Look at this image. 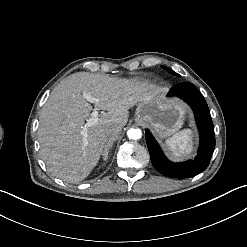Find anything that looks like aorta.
<instances>
[{"mask_svg": "<svg viewBox=\"0 0 247 247\" xmlns=\"http://www.w3.org/2000/svg\"><path fill=\"white\" fill-rule=\"evenodd\" d=\"M127 136L130 138V139H133V140H137V139H140L141 136H142V132L139 128H131L127 131Z\"/></svg>", "mask_w": 247, "mask_h": 247, "instance_id": "obj_1", "label": "aorta"}]
</instances>
